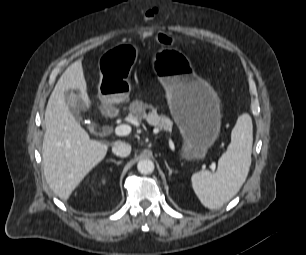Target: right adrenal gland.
<instances>
[{
    "instance_id": "right-adrenal-gland-1",
    "label": "right adrenal gland",
    "mask_w": 306,
    "mask_h": 255,
    "mask_svg": "<svg viewBox=\"0 0 306 255\" xmlns=\"http://www.w3.org/2000/svg\"><path fill=\"white\" fill-rule=\"evenodd\" d=\"M110 161L117 165H120L122 163V161H116L115 159H111Z\"/></svg>"
}]
</instances>
